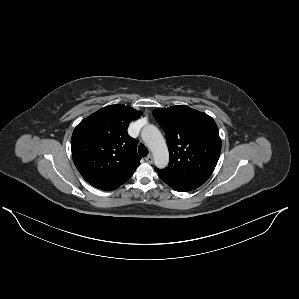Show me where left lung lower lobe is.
I'll return each mask as SVG.
<instances>
[{
    "mask_svg": "<svg viewBox=\"0 0 299 299\" xmlns=\"http://www.w3.org/2000/svg\"><path fill=\"white\" fill-rule=\"evenodd\" d=\"M159 177L162 181L168 184L172 189L179 192H186L193 190L199 186H201L205 181L204 180H180L173 179L162 175L159 171L156 170Z\"/></svg>",
    "mask_w": 299,
    "mask_h": 299,
    "instance_id": "1",
    "label": "left lung lower lobe"
}]
</instances>
